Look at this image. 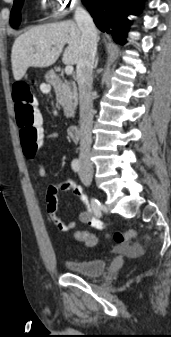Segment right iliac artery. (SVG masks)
I'll return each mask as SVG.
<instances>
[{
  "label": "right iliac artery",
  "instance_id": "1",
  "mask_svg": "<svg viewBox=\"0 0 171 337\" xmlns=\"http://www.w3.org/2000/svg\"><path fill=\"white\" fill-rule=\"evenodd\" d=\"M71 166H72V169L75 171V172H79L80 170V161L78 159H74L71 163ZM91 206L95 212V214L100 217L101 216V204L100 202L93 198L91 199Z\"/></svg>",
  "mask_w": 171,
  "mask_h": 337
}]
</instances>
